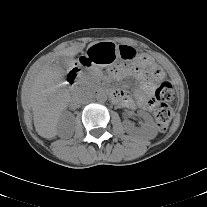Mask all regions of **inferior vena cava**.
I'll return each mask as SVG.
<instances>
[{
  "mask_svg": "<svg viewBox=\"0 0 207 207\" xmlns=\"http://www.w3.org/2000/svg\"><path fill=\"white\" fill-rule=\"evenodd\" d=\"M93 98V94L90 91L83 90L76 94L75 101L77 104H87Z\"/></svg>",
  "mask_w": 207,
  "mask_h": 207,
  "instance_id": "obj_1",
  "label": "inferior vena cava"
}]
</instances>
